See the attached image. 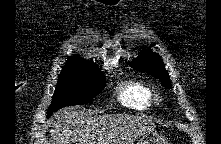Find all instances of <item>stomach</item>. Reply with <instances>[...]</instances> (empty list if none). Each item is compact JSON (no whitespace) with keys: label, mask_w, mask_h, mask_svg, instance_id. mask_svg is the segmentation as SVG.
<instances>
[{"label":"stomach","mask_w":221,"mask_h":144,"mask_svg":"<svg viewBox=\"0 0 221 144\" xmlns=\"http://www.w3.org/2000/svg\"><path fill=\"white\" fill-rule=\"evenodd\" d=\"M166 139L156 132H149L144 134L139 140L138 144H166Z\"/></svg>","instance_id":"1"}]
</instances>
